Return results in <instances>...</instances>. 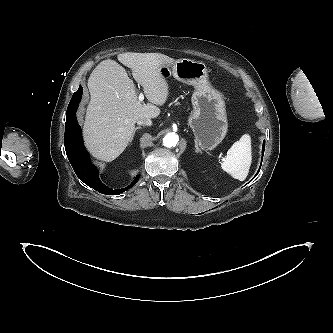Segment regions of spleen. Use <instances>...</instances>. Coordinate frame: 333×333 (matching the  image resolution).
Masks as SVG:
<instances>
[{
	"instance_id": "3e777b00",
	"label": "spleen",
	"mask_w": 333,
	"mask_h": 333,
	"mask_svg": "<svg viewBox=\"0 0 333 333\" xmlns=\"http://www.w3.org/2000/svg\"><path fill=\"white\" fill-rule=\"evenodd\" d=\"M251 140L248 134H244L227 151L226 157L221 163V168L234 179L244 181L251 166Z\"/></svg>"
}]
</instances>
